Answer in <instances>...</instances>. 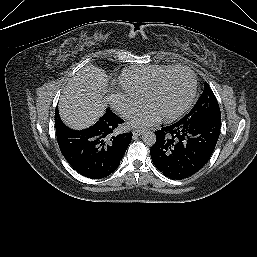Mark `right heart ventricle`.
Wrapping results in <instances>:
<instances>
[{"instance_id": "e07e8e85", "label": "right heart ventricle", "mask_w": 257, "mask_h": 257, "mask_svg": "<svg viewBox=\"0 0 257 257\" xmlns=\"http://www.w3.org/2000/svg\"><path fill=\"white\" fill-rule=\"evenodd\" d=\"M171 67L170 65H146L126 68L121 74L120 85L128 93L144 98L154 81Z\"/></svg>"}]
</instances>
